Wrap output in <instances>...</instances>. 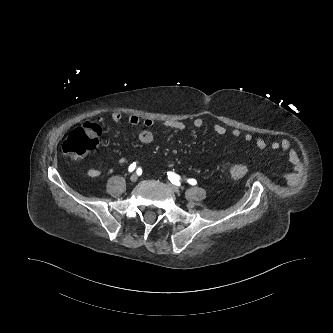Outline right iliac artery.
Here are the masks:
<instances>
[{
	"mask_svg": "<svg viewBox=\"0 0 333 333\" xmlns=\"http://www.w3.org/2000/svg\"><path fill=\"white\" fill-rule=\"evenodd\" d=\"M135 168H136V163L133 162V163L129 166L128 171H129V172H132V171L135 170Z\"/></svg>",
	"mask_w": 333,
	"mask_h": 333,
	"instance_id": "right-iliac-artery-1",
	"label": "right iliac artery"
}]
</instances>
